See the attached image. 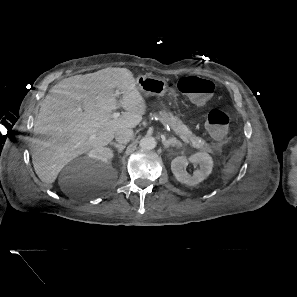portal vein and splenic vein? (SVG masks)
<instances>
[{"instance_id":"obj_1","label":"portal vein and splenic vein","mask_w":297,"mask_h":297,"mask_svg":"<svg viewBox=\"0 0 297 297\" xmlns=\"http://www.w3.org/2000/svg\"><path fill=\"white\" fill-rule=\"evenodd\" d=\"M119 116H120V113H119V112H115V113L112 114V118H118ZM179 137H180L184 142L188 143V140H187L184 136H182V135L179 134ZM93 138H94V137L92 136L91 139H93Z\"/></svg>"}]
</instances>
